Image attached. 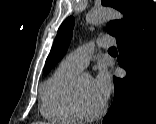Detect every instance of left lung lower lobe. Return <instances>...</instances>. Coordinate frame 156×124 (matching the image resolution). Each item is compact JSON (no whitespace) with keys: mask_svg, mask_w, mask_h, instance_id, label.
Wrapping results in <instances>:
<instances>
[{"mask_svg":"<svg viewBox=\"0 0 156 124\" xmlns=\"http://www.w3.org/2000/svg\"><path fill=\"white\" fill-rule=\"evenodd\" d=\"M116 40L127 75L113 77L114 99L103 122L156 124V4L148 0Z\"/></svg>","mask_w":156,"mask_h":124,"instance_id":"left-lung-lower-lobe-1","label":"left lung lower lobe"}]
</instances>
